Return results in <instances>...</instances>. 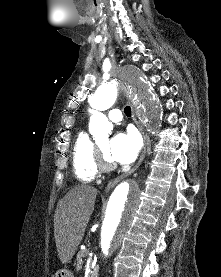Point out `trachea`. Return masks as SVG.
Listing matches in <instances>:
<instances>
[{
	"label": "trachea",
	"instance_id": "1",
	"mask_svg": "<svg viewBox=\"0 0 221 277\" xmlns=\"http://www.w3.org/2000/svg\"><path fill=\"white\" fill-rule=\"evenodd\" d=\"M124 113H125L128 117L131 116V108H130V106H126V107H125Z\"/></svg>",
	"mask_w": 221,
	"mask_h": 277
}]
</instances>
